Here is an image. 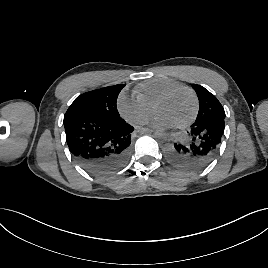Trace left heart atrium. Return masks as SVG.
Segmentation results:
<instances>
[{"label": "left heart atrium", "mask_w": 268, "mask_h": 268, "mask_svg": "<svg viewBox=\"0 0 268 268\" xmlns=\"http://www.w3.org/2000/svg\"><path fill=\"white\" fill-rule=\"evenodd\" d=\"M153 124L160 129H166L173 126L168 120L158 115L154 118Z\"/></svg>", "instance_id": "39dd6f15"}]
</instances>
